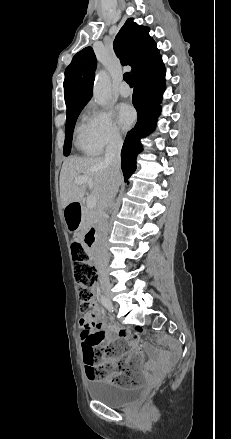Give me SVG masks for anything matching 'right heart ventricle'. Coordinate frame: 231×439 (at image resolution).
<instances>
[{"instance_id": "obj_1", "label": "right heart ventricle", "mask_w": 231, "mask_h": 439, "mask_svg": "<svg viewBox=\"0 0 231 439\" xmlns=\"http://www.w3.org/2000/svg\"><path fill=\"white\" fill-rule=\"evenodd\" d=\"M75 145L78 150L86 154H97L95 148L88 142L85 135V124L78 125L76 129Z\"/></svg>"}]
</instances>
